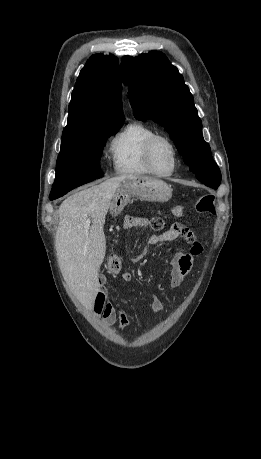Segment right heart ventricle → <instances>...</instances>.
Masks as SVG:
<instances>
[{
  "label": "right heart ventricle",
  "instance_id": "e07e8e85",
  "mask_svg": "<svg viewBox=\"0 0 261 459\" xmlns=\"http://www.w3.org/2000/svg\"><path fill=\"white\" fill-rule=\"evenodd\" d=\"M155 134L156 131L151 126L133 122L113 138L110 152L118 174H152L145 162L144 150L149 138Z\"/></svg>",
  "mask_w": 261,
  "mask_h": 459
}]
</instances>
